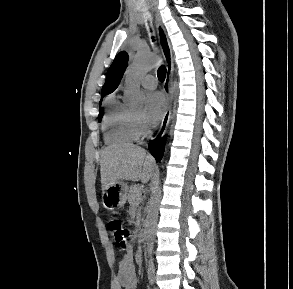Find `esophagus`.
Returning a JSON list of instances; mask_svg holds the SVG:
<instances>
[{"label":"esophagus","mask_w":293,"mask_h":289,"mask_svg":"<svg viewBox=\"0 0 293 289\" xmlns=\"http://www.w3.org/2000/svg\"><path fill=\"white\" fill-rule=\"evenodd\" d=\"M155 23L157 28L159 45L166 63V77L163 84V90L167 98V110L162 119L159 131L156 135L157 139H161L165 135L171 119V109L173 101L172 76L174 71V57L165 28L158 17H156Z\"/></svg>","instance_id":"obj_1"}]
</instances>
